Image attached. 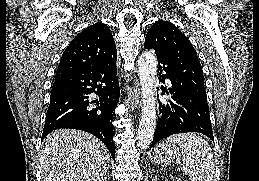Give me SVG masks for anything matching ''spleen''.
<instances>
[{
	"label": "spleen",
	"instance_id": "3e777b00",
	"mask_svg": "<svg viewBox=\"0 0 259 181\" xmlns=\"http://www.w3.org/2000/svg\"><path fill=\"white\" fill-rule=\"evenodd\" d=\"M181 148L183 170L191 181H215V165L211 148L196 133H180L167 138Z\"/></svg>",
	"mask_w": 259,
	"mask_h": 181
}]
</instances>
